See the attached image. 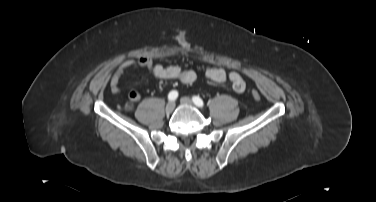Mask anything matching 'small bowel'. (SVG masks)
<instances>
[{"instance_id": "1", "label": "small bowel", "mask_w": 376, "mask_h": 202, "mask_svg": "<svg viewBox=\"0 0 376 202\" xmlns=\"http://www.w3.org/2000/svg\"><path fill=\"white\" fill-rule=\"evenodd\" d=\"M137 67L146 68L154 77L164 80H177L183 84H191L196 78L195 71L187 68H182L177 65L163 66L155 64L151 58L147 56H140L135 60H125L113 73L110 79V90L113 94L120 92V79L128 70L136 69ZM205 76L209 80L216 83L231 82L234 92L241 94L245 91L246 85L242 77L235 73H228L224 68L214 66L205 71ZM131 102L135 103L141 99V94L138 91H131L128 95Z\"/></svg>"}]
</instances>
